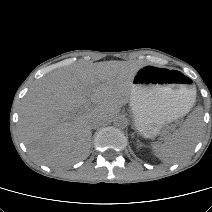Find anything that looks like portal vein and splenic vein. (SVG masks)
Returning <instances> with one entry per match:
<instances>
[{
    "instance_id": "1",
    "label": "portal vein and splenic vein",
    "mask_w": 212,
    "mask_h": 212,
    "mask_svg": "<svg viewBox=\"0 0 212 212\" xmlns=\"http://www.w3.org/2000/svg\"><path fill=\"white\" fill-rule=\"evenodd\" d=\"M85 108L88 109L89 107L86 105Z\"/></svg>"
}]
</instances>
